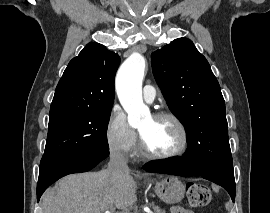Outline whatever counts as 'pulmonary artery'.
Masks as SVG:
<instances>
[{
  "label": "pulmonary artery",
  "instance_id": "1",
  "mask_svg": "<svg viewBox=\"0 0 270 213\" xmlns=\"http://www.w3.org/2000/svg\"><path fill=\"white\" fill-rule=\"evenodd\" d=\"M156 97V90L151 85H146L143 90V98L146 102L152 103Z\"/></svg>",
  "mask_w": 270,
  "mask_h": 213
}]
</instances>
